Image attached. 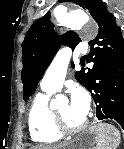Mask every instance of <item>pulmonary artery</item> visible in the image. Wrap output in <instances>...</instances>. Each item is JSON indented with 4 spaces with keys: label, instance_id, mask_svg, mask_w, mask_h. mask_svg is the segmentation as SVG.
Wrapping results in <instances>:
<instances>
[{
    "label": "pulmonary artery",
    "instance_id": "e3ab8cb5",
    "mask_svg": "<svg viewBox=\"0 0 124 149\" xmlns=\"http://www.w3.org/2000/svg\"><path fill=\"white\" fill-rule=\"evenodd\" d=\"M70 57L71 50L69 48L59 51L42 80L41 87L44 91L55 92L61 89L66 77Z\"/></svg>",
    "mask_w": 124,
    "mask_h": 149
}]
</instances>
